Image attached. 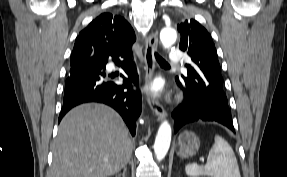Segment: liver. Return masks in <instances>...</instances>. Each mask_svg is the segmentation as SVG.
Instances as JSON below:
<instances>
[{"label":"liver","instance_id":"liver-1","mask_svg":"<svg viewBox=\"0 0 287 177\" xmlns=\"http://www.w3.org/2000/svg\"><path fill=\"white\" fill-rule=\"evenodd\" d=\"M52 152L48 177H108L127 165L132 142L112 108L83 104L62 119Z\"/></svg>","mask_w":287,"mask_h":177}]
</instances>
